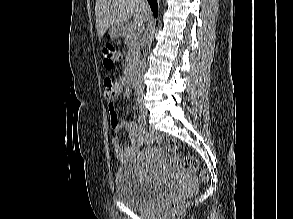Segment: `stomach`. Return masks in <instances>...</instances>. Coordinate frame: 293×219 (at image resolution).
<instances>
[{
	"label": "stomach",
	"instance_id": "stomach-1",
	"mask_svg": "<svg viewBox=\"0 0 293 219\" xmlns=\"http://www.w3.org/2000/svg\"><path fill=\"white\" fill-rule=\"evenodd\" d=\"M126 32L125 27H121L119 25H113L109 28V35L113 39H118L124 35Z\"/></svg>",
	"mask_w": 293,
	"mask_h": 219
}]
</instances>
